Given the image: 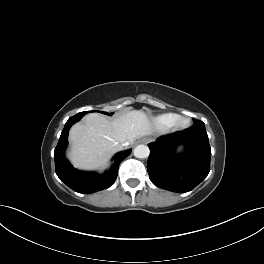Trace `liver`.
Here are the masks:
<instances>
[{"mask_svg":"<svg viewBox=\"0 0 264 264\" xmlns=\"http://www.w3.org/2000/svg\"><path fill=\"white\" fill-rule=\"evenodd\" d=\"M152 134L145 112L133 110L110 121L98 113L88 114L69 132L71 150L68 154L76 168L104 167L110 157L122 149V143Z\"/></svg>","mask_w":264,"mask_h":264,"instance_id":"6515ba94","label":"liver"}]
</instances>
